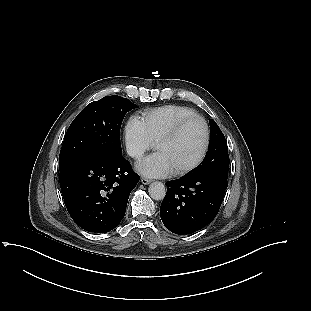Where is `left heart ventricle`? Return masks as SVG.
Here are the masks:
<instances>
[{"label": "left heart ventricle", "instance_id": "1", "mask_svg": "<svg viewBox=\"0 0 311 311\" xmlns=\"http://www.w3.org/2000/svg\"><path fill=\"white\" fill-rule=\"evenodd\" d=\"M204 132L201 123L187 125L173 140L162 141L156 150L167 157L173 171L189 164L199 154L203 144Z\"/></svg>", "mask_w": 311, "mask_h": 311}]
</instances>
